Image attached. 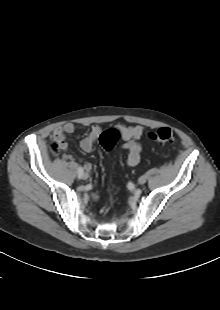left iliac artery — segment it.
Returning <instances> with one entry per match:
<instances>
[{
    "label": "left iliac artery",
    "instance_id": "44dca946",
    "mask_svg": "<svg viewBox=\"0 0 220 310\" xmlns=\"http://www.w3.org/2000/svg\"><path fill=\"white\" fill-rule=\"evenodd\" d=\"M127 188L132 191L135 188L134 183L133 182H128Z\"/></svg>",
    "mask_w": 220,
    "mask_h": 310
}]
</instances>
